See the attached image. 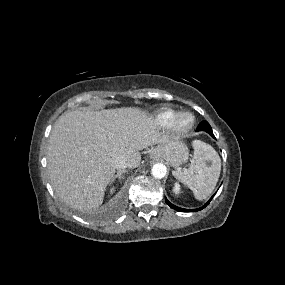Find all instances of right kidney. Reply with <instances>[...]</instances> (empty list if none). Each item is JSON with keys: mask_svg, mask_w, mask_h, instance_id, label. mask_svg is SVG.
Returning <instances> with one entry per match:
<instances>
[{"mask_svg": "<svg viewBox=\"0 0 285 285\" xmlns=\"http://www.w3.org/2000/svg\"><path fill=\"white\" fill-rule=\"evenodd\" d=\"M114 191H115V188H112V189L110 190L111 193H113Z\"/></svg>", "mask_w": 285, "mask_h": 285, "instance_id": "ca27d5eb", "label": "right kidney"}]
</instances>
